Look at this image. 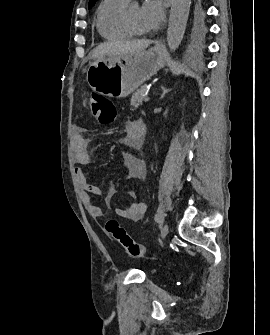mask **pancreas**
<instances>
[{"mask_svg": "<svg viewBox=\"0 0 270 335\" xmlns=\"http://www.w3.org/2000/svg\"><path fill=\"white\" fill-rule=\"evenodd\" d=\"M145 90H146V86H141L139 90H136V92H134L130 100L131 106H135V108H138V106H142L143 100L145 99V96H144Z\"/></svg>", "mask_w": 270, "mask_h": 335, "instance_id": "pancreas-1", "label": "pancreas"}]
</instances>
